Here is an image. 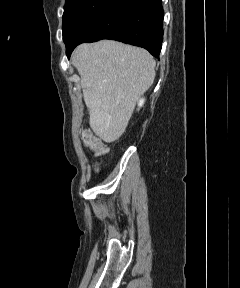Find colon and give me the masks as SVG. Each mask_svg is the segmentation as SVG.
I'll return each instance as SVG.
<instances>
[{
    "label": "colon",
    "instance_id": "obj_1",
    "mask_svg": "<svg viewBox=\"0 0 240 288\" xmlns=\"http://www.w3.org/2000/svg\"><path fill=\"white\" fill-rule=\"evenodd\" d=\"M81 137L84 144L92 151H94L98 156H104L108 153V148L92 133L84 131L82 132Z\"/></svg>",
    "mask_w": 240,
    "mask_h": 288
}]
</instances>
